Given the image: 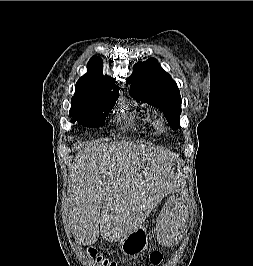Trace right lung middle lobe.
Wrapping results in <instances>:
<instances>
[{"instance_id":"right-lung-middle-lobe-1","label":"right lung middle lobe","mask_w":253,"mask_h":266,"mask_svg":"<svg viewBox=\"0 0 253 266\" xmlns=\"http://www.w3.org/2000/svg\"><path fill=\"white\" fill-rule=\"evenodd\" d=\"M117 97L88 104L72 105L70 115L73 119L71 122H79L86 127L103 126L106 116L111 111Z\"/></svg>"}]
</instances>
